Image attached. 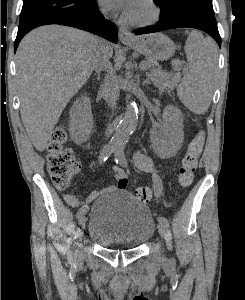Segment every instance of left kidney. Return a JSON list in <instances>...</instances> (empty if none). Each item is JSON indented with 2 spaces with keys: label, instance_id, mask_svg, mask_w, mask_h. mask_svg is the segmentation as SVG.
Returning a JSON list of instances; mask_svg holds the SVG:
<instances>
[{
  "label": "left kidney",
  "instance_id": "obj_1",
  "mask_svg": "<svg viewBox=\"0 0 245 300\" xmlns=\"http://www.w3.org/2000/svg\"><path fill=\"white\" fill-rule=\"evenodd\" d=\"M163 124L152 130L151 140L154 150L162 156L171 157L181 147L184 139L183 115L173 105H168L162 115Z\"/></svg>",
  "mask_w": 245,
  "mask_h": 300
}]
</instances>
